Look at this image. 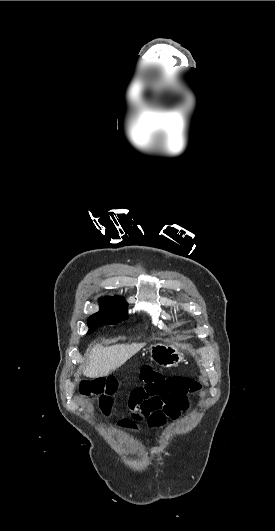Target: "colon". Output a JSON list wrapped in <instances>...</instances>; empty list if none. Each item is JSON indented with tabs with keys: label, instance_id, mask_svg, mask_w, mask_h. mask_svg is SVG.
Listing matches in <instances>:
<instances>
[{
	"label": "colon",
	"instance_id": "colon-1",
	"mask_svg": "<svg viewBox=\"0 0 275 531\" xmlns=\"http://www.w3.org/2000/svg\"><path fill=\"white\" fill-rule=\"evenodd\" d=\"M104 380L100 376L81 378L76 383L77 397L81 401H98L102 396Z\"/></svg>",
	"mask_w": 275,
	"mask_h": 531
}]
</instances>
